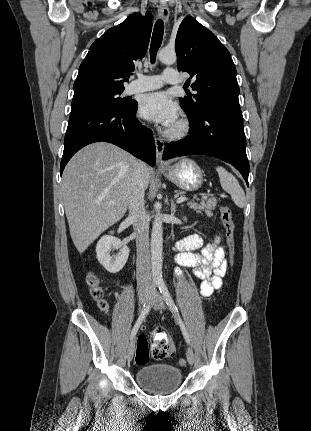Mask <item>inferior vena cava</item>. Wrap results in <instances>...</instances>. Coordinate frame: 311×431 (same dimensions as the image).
<instances>
[{"mask_svg": "<svg viewBox=\"0 0 311 431\" xmlns=\"http://www.w3.org/2000/svg\"><path fill=\"white\" fill-rule=\"evenodd\" d=\"M133 192L129 204V216L133 221L137 245V293L147 295L152 287L150 247H149V221L145 210V182L142 178L140 164L133 176Z\"/></svg>", "mask_w": 311, "mask_h": 431, "instance_id": "602c4592", "label": "inferior vena cava"}]
</instances>
